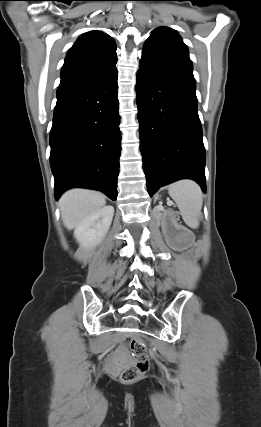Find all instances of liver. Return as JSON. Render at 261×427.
Here are the masks:
<instances>
[{"instance_id":"1","label":"liver","mask_w":261,"mask_h":427,"mask_svg":"<svg viewBox=\"0 0 261 427\" xmlns=\"http://www.w3.org/2000/svg\"><path fill=\"white\" fill-rule=\"evenodd\" d=\"M105 203V196L100 192L86 189L68 190L59 200L65 227L69 230L76 228L89 216L100 210Z\"/></svg>"}]
</instances>
